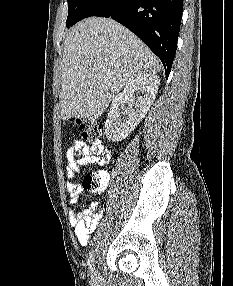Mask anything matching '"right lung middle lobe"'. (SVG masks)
Instances as JSON below:
<instances>
[{
    "instance_id": "dd1d6c3e",
    "label": "right lung middle lobe",
    "mask_w": 233,
    "mask_h": 286,
    "mask_svg": "<svg viewBox=\"0 0 233 286\" xmlns=\"http://www.w3.org/2000/svg\"><path fill=\"white\" fill-rule=\"evenodd\" d=\"M92 0H67L68 2V17L66 27L74 25L80 16Z\"/></svg>"
}]
</instances>
